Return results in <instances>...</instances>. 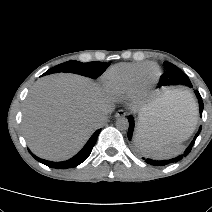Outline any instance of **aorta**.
Returning <instances> with one entry per match:
<instances>
[{"label": "aorta", "instance_id": "1", "mask_svg": "<svg viewBox=\"0 0 212 212\" xmlns=\"http://www.w3.org/2000/svg\"><path fill=\"white\" fill-rule=\"evenodd\" d=\"M129 127L128 119L125 117H119L116 120V128L119 130H127Z\"/></svg>", "mask_w": 212, "mask_h": 212}]
</instances>
